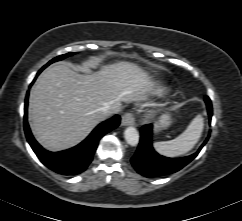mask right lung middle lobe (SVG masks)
Here are the masks:
<instances>
[{"instance_id": "right-lung-middle-lobe-1", "label": "right lung middle lobe", "mask_w": 242, "mask_h": 221, "mask_svg": "<svg viewBox=\"0 0 242 221\" xmlns=\"http://www.w3.org/2000/svg\"><path fill=\"white\" fill-rule=\"evenodd\" d=\"M74 53H67V54H64V55H61V56H58L56 58H54L53 60H51L47 65H45L43 68H45L46 66H48L49 64H51L52 62H55V61H59V60H62L70 55H73Z\"/></svg>"}]
</instances>
